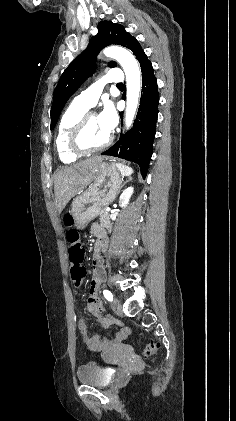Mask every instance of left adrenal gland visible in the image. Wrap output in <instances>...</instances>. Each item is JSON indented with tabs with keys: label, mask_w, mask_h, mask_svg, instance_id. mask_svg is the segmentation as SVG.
Listing matches in <instances>:
<instances>
[{
	"label": "left adrenal gland",
	"mask_w": 236,
	"mask_h": 421,
	"mask_svg": "<svg viewBox=\"0 0 236 421\" xmlns=\"http://www.w3.org/2000/svg\"><path fill=\"white\" fill-rule=\"evenodd\" d=\"M129 180H132V176H129ZM129 180H126V182H129ZM125 182H123L122 186H124ZM119 192V190H118Z\"/></svg>",
	"instance_id": "1"
}]
</instances>
